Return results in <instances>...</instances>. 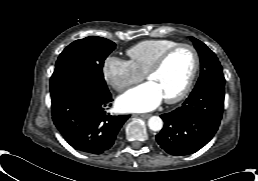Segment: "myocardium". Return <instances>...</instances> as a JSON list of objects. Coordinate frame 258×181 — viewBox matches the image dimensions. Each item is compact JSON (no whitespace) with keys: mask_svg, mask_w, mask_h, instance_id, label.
<instances>
[{"mask_svg":"<svg viewBox=\"0 0 258 181\" xmlns=\"http://www.w3.org/2000/svg\"><path fill=\"white\" fill-rule=\"evenodd\" d=\"M182 48H187L192 52L193 58H194L193 68H192L190 77H189L186 85L184 86V88L176 96L170 97V98H164L165 102L168 104H175V103L180 102L191 91L193 84L195 82L196 76L198 74L199 67H200V57H199V54H198L196 48L193 45L188 44V43H178V44L170 47L169 49L165 50L157 58V60L152 64V66L149 68V70L145 74V78L148 80L152 75L156 74L157 72H159L162 69V67L164 66L167 59L173 53H175L176 51H178L179 49H182Z\"/></svg>","mask_w":258,"mask_h":181,"instance_id":"1","label":"myocardium"}]
</instances>
